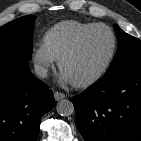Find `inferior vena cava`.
<instances>
[{
    "instance_id": "inferior-vena-cava-1",
    "label": "inferior vena cava",
    "mask_w": 141,
    "mask_h": 141,
    "mask_svg": "<svg viewBox=\"0 0 141 141\" xmlns=\"http://www.w3.org/2000/svg\"><path fill=\"white\" fill-rule=\"evenodd\" d=\"M35 73H36L39 77L45 78V77H47L48 68H47L45 65L36 64V65H35Z\"/></svg>"
}]
</instances>
